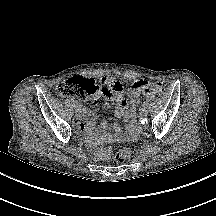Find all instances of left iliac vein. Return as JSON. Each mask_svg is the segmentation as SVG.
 <instances>
[{
    "label": "left iliac vein",
    "instance_id": "left-iliac-vein-1",
    "mask_svg": "<svg viewBox=\"0 0 216 216\" xmlns=\"http://www.w3.org/2000/svg\"><path fill=\"white\" fill-rule=\"evenodd\" d=\"M139 114H140L141 117L146 116L147 115V109H146V107H142L141 110H140V112H139Z\"/></svg>",
    "mask_w": 216,
    "mask_h": 216
}]
</instances>
